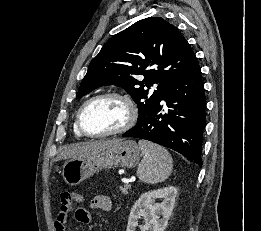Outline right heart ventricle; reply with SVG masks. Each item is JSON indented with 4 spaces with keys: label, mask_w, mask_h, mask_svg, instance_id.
I'll return each instance as SVG.
<instances>
[{
    "label": "right heart ventricle",
    "mask_w": 261,
    "mask_h": 231,
    "mask_svg": "<svg viewBox=\"0 0 261 231\" xmlns=\"http://www.w3.org/2000/svg\"><path fill=\"white\" fill-rule=\"evenodd\" d=\"M73 133H74V135H75L77 138H82V137H83V135L80 134V132H79L78 129H77L76 119L74 120V123H73Z\"/></svg>",
    "instance_id": "obj_1"
}]
</instances>
